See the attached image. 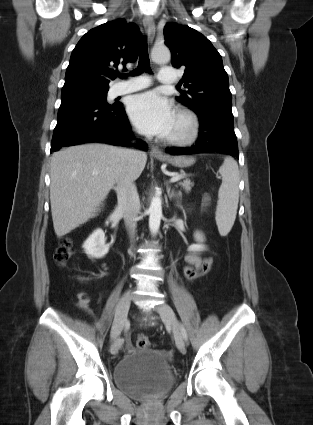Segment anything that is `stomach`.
I'll list each match as a JSON object with an SVG mask.
<instances>
[{
    "instance_id": "1",
    "label": "stomach",
    "mask_w": 313,
    "mask_h": 425,
    "mask_svg": "<svg viewBox=\"0 0 313 425\" xmlns=\"http://www.w3.org/2000/svg\"><path fill=\"white\" fill-rule=\"evenodd\" d=\"M161 161L168 162L172 164L175 167L179 168H185L189 167L194 164L195 160L192 157H186V156H175V157H169L165 159H160Z\"/></svg>"
}]
</instances>
